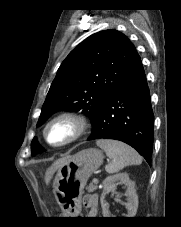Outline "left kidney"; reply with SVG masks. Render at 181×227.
<instances>
[{"label":"left kidney","mask_w":181,"mask_h":227,"mask_svg":"<svg viewBox=\"0 0 181 227\" xmlns=\"http://www.w3.org/2000/svg\"><path fill=\"white\" fill-rule=\"evenodd\" d=\"M118 182L123 183L127 187V190L125 192V196L127 197V203H125L127 215H125L124 217H134L138 208V196L135 190V183L130 180L129 175L126 172L108 176L103 181L104 189L100 201L104 217H108L109 214L108 207L104 200L105 195L109 192H115Z\"/></svg>","instance_id":"1"}]
</instances>
